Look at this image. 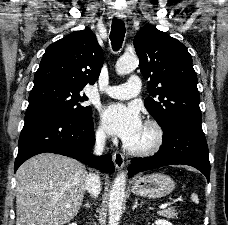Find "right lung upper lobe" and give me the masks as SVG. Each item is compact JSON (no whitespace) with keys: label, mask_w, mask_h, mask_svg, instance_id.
<instances>
[{"label":"right lung upper lobe","mask_w":228,"mask_h":225,"mask_svg":"<svg viewBox=\"0 0 228 225\" xmlns=\"http://www.w3.org/2000/svg\"><path fill=\"white\" fill-rule=\"evenodd\" d=\"M103 61L95 34L89 28L74 31L48 46L35 73L34 85L60 82L83 88L95 83Z\"/></svg>","instance_id":"right-lung-upper-lobe-1"}]
</instances>
